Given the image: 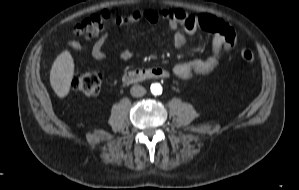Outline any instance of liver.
<instances>
[{
    "instance_id": "liver-1",
    "label": "liver",
    "mask_w": 299,
    "mask_h": 190,
    "mask_svg": "<svg viewBox=\"0 0 299 190\" xmlns=\"http://www.w3.org/2000/svg\"><path fill=\"white\" fill-rule=\"evenodd\" d=\"M74 74V61L68 51L62 52L50 71V84L58 97H65L70 90Z\"/></svg>"
}]
</instances>
